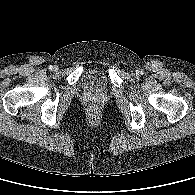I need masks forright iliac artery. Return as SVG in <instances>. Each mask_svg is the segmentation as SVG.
I'll return each mask as SVG.
<instances>
[{"instance_id": "1", "label": "right iliac artery", "mask_w": 195, "mask_h": 195, "mask_svg": "<svg viewBox=\"0 0 195 195\" xmlns=\"http://www.w3.org/2000/svg\"><path fill=\"white\" fill-rule=\"evenodd\" d=\"M53 68H54V67H53L52 65L49 66V70H53Z\"/></svg>"}]
</instances>
